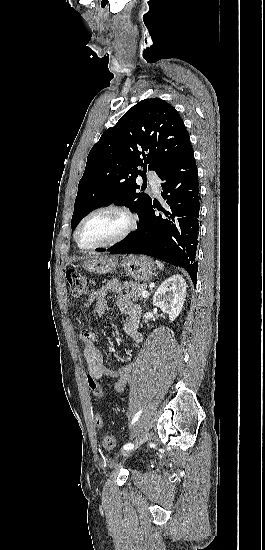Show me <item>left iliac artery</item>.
<instances>
[{"instance_id":"44dca946","label":"left iliac artery","mask_w":265,"mask_h":550,"mask_svg":"<svg viewBox=\"0 0 265 550\" xmlns=\"http://www.w3.org/2000/svg\"><path fill=\"white\" fill-rule=\"evenodd\" d=\"M141 413H142V410H139V411L135 414V416H134L133 419H132L131 424H134V423L139 419ZM133 448H134V444H132V443H128V444H125V445L123 446V449H124V450H131V449H133Z\"/></svg>"}]
</instances>
